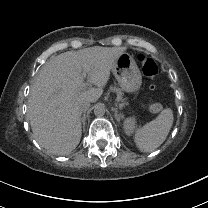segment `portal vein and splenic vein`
I'll list each match as a JSON object with an SVG mask.
<instances>
[{"mask_svg": "<svg viewBox=\"0 0 208 208\" xmlns=\"http://www.w3.org/2000/svg\"><path fill=\"white\" fill-rule=\"evenodd\" d=\"M83 76H84L85 79H88V80H86L85 83L81 84V86H80L81 90H85L86 86L90 84L89 75L86 74L85 72H83ZM112 93L115 94L116 98H117L116 103L118 105H116V108H118V110H121V108L123 107V104L121 103V100H120L121 95H120L119 91L116 88H113Z\"/></svg>", "mask_w": 208, "mask_h": 208, "instance_id": "obj_1", "label": "portal vein and splenic vein"}]
</instances>
